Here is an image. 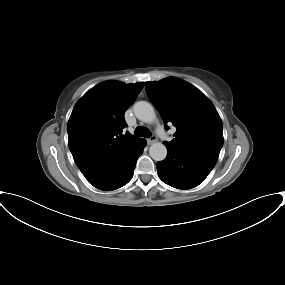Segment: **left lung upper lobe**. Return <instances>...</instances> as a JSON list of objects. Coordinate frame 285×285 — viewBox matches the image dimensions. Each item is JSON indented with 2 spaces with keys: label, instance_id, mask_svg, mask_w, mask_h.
I'll list each match as a JSON object with an SVG mask.
<instances>
[{
  "label": "left lung upper lobe",
  "instance_id": "1",
  "mask_svg": "<svg viewBox=\"0 0 285 285\" xmlns=\"http://www.w3.org/2000/svg\"><path fill=\"white\" fill-rule=\"evenodd\" d=\"M149 99L168 129L177 131L167 147L217 162L223 146V124L213 103L196 87L179 78L146 82Z\"/></svg>",
  "mask_w": 285,
  "mask_h": 285
}]
</instances>
